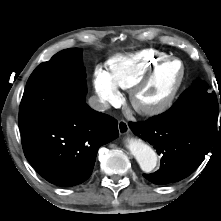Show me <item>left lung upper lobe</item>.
<instances>
[{
  "instance_id": "left-lung-upper-lobe-1",
  "label": "left lung upper lobe",
  "mask_w": 221,
  "mask_h": 221,
  "mask_svg": "<svg viewBox=\"0 0 221 221\" xmlns=\"http://www.w3.org/2000/svg\"><path fill=\"white\" fill-rule=\"evenodd\" d=\"M218 108L216 94L209 93L208 84L198 80L179 97L167 112L162 114V117L165 119L218 118Z\"/></svg>"
}]
</instances>
